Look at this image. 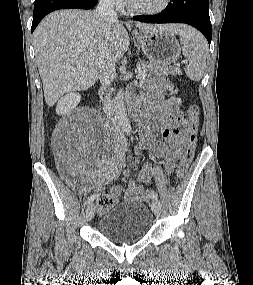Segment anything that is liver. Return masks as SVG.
<instances>
[{"label": "liver", "mask_w": 253, "mask_h": 285, "mask_svg": "<svg viewBox=\"0 0 253 285\" xmlns=\"http://www.w3.org/2000/svg\"><path fill=\"white\" fill-rule=\"evenodd\" d=\"M141 32L180 33L181 24H142ZM129 47L121 23L101 20L96 11L58 10L46 16L34 31V48L44 97L52 107L65 93L84 91L99 78L106 57L118 62Z\"/></svg>", "instance_id": "obj_1"}]
</instances>
